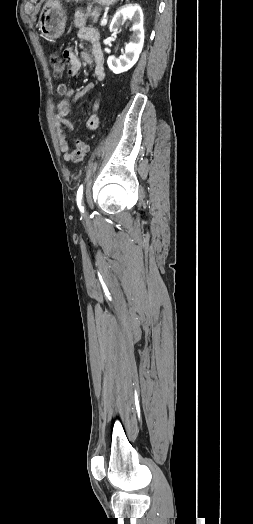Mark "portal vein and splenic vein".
Returning <instances> with one entry per match:
<instances>
[{
  "mask_svg": "<svg viewBox=\"0 0 253 524\" xmlns=\"http://www.w3.org/2000/svg\"><path fill=\"white\" fill-rule=\"evenodd\" d=\"M106 24H107V18L103 17L102 20H101V25L104 26Z\"/></svg>",
  "mask_w": 253,
  "mask_h": 524,
  "instance_id": "18ae733b",
  "label": "portal vein and splenic vein"
}]
</instances>
